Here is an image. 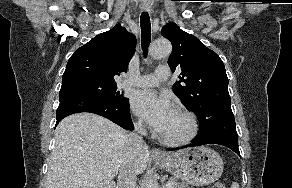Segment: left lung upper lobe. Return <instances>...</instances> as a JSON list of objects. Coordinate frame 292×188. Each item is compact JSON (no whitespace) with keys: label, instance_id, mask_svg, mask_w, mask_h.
Wrapping results in <instances>:
<instances>
[{"label":"left lung upper lobe","instance_id":"obj_1","mask_svg":"<svg viewBox=\"0 0 292 188\" xmlns=\"http://www.w3.org/2000/svg\"><path fill=\"white\" fill-rule=\"evenodd\" d=\"M162 35L172 43L168 59L172 72L182 70L173 91L196 114L200 132L234 118L228 78L220 57L173 22L162 28Z\"/></svg>","mask_w":292,"mask_h":188}]
</instances>
